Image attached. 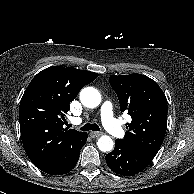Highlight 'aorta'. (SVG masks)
<instances>
[{
  "instance_id": "1",
  "label": "aorta",
  "mask_w": 194,
  "mask_h": 194,
  "mask_svg": "<svg viewBox=\"0 0 194 194\" xmlns=\"http://www.w3.org/2000/svg\"><path fill=\"white\" fill-rule=\"evenodd\" d=\"M80 101L88 108H95L101 102V95L97 89L86 87L80 92ZM97 146L103 152L111 151L114 147V142L109 136L103 135L98 139Z\"/></svg>"
}]
</instances>
